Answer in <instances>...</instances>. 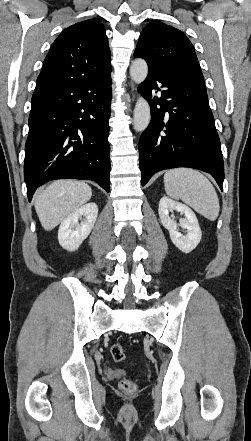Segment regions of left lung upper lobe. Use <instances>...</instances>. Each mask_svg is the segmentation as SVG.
<instances>
[{"label":"left lung upper lobe","instance_id":"obj_1","mask_svg":"<svg viewBox=\"0 0 251 441\" xmlns=\"http://www.w3.org/2000/svg\"><path fill=\"white\" fill-rule=\"evenodd\" d=\"M134 56L145 59L149 70L204 81L192 43L182 31L160 21H152L143 29Z\"/></svg>","mask_w":251,"mask_h":441}]
</instances>
